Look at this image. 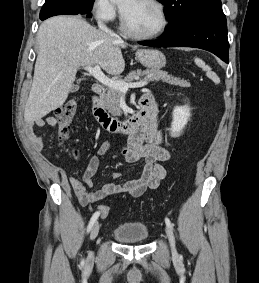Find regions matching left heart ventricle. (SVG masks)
Returning <instances> with one entry per match:
<instances>
[{"label":"left heart ventricle","instance_id":"obj_1","mask_svg":"<svg viewBox=\"0 0 259 283\" xmlns=\"http://www.w3.org/2000/svg\"><path fill=\"white\" fill-rule=\"evenodd\" d=\"M129 27L139 33H153L162 25L158 8L148 0H122L120 4Z\"/></svg>","mask_w":259,"mask_h":283}]
</instances>
